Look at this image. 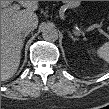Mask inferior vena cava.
I'll list each match as a JSON object with an SVG mask.
<instances>
[{"instance_id": "inferior-vena-cava-1", "label": "inferior vena cava", "mask_w": 109, "mask_h": 109, "mask_svg": "<svg viewBox=\"0 0 109 109\" xmlns=\"http://www.w3.org/2000/svg\"><path fill=\"white\" fill-rule=\"evenodd\" d=\"M20 29L23 33L25 34H29L31 31H33L35 28L33 26V24H31L30 22H23L20 25Z\"/></svg>"}]
</instances>
